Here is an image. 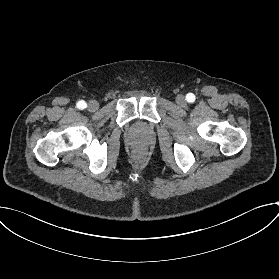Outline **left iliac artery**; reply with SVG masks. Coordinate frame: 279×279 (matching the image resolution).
<instances>
[{"label": "left iliac artery", "instance_id": "obj_1", "mask_svg": "<svg viewBox=\"0 0 279 279\" xmlns=\"http://www.w3.org/2000/svg\"><path fill=\"white\" fill-rule=\"evenodd\" d=\"M186 100L188 102H194L195 101V95L193 93H188L187 96H186Z\"/></svg>", "mask_w": 279, "mask_h": 279}]
</instances>
